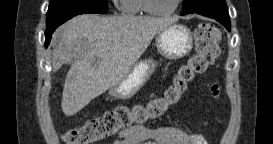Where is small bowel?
I'll use <instances>...</instances> for the list:
<instances>
[{"label":"small bowel","instance_id":"1","mask_svg":"<svg viewBox=\"0 0 273 144\" xmlns=\"http://www.w3.org/2000/svg\"><path fill=\"white\" fill-rule=\"evenodd\" d=\"M209 91L213 97H219L218 85L211 83ZM202 134L184 131L177 127L148 128L134 126L120 132L114 144H206Z\"/></svg>","mask_w":273,"mask_h":144}]
</instances>
